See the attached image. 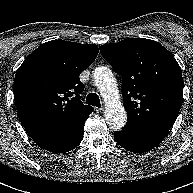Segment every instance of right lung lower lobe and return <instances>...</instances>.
Here are the masks:
<instances>
[{"label": "right lung lower lobe", "mask_w": 193, "mask_h": 193, "mask_svg": "<svg viewBox=\"0 0 193 193\" xmlns=\"http://www.w3.org/2000/svg\"><path fill=\"white\" fill-rule=\"evenodd\" d=\"M89 116L77 121L65 129L32 136L41 148L53 153H66L80 144L84 134V123Z\"/></svg>", "instance_id": "right-lung-lower-lobe-1"}]
</instances>
